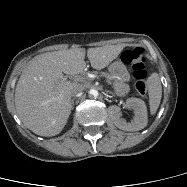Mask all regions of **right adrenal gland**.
<instances>
[{
  "mask_svg": "<svg viewBox=\"0 0 187 187\" xmlns=\"http://www.w3.org/2000/svg\"><path fill=\"white\" fill-rule=\"evenodd\" d=\"M71 104H72V109H73V107H74V100L71 101Z\"/></svg>",
  "mask_w": 187,
  "mask_h": 187,
  "instance_id": "obj_1",
  "label": "right adrenal gland"
}]
</instances>
